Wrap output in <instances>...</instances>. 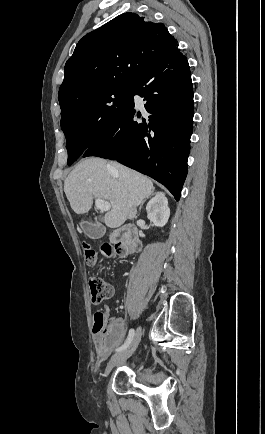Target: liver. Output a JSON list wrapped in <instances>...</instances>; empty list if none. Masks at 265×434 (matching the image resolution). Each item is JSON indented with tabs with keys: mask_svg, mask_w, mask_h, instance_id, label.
<instances>
[{
	"mask_svg": "<svg viewBox=\"0 0 265 434\" xmlns=\"http://www.w3.org/2000/svg\"><path fill=\"white\" fill-rule=\"evenodd\" d=\"M152 180L117 162L85 158L68 174L64 192L75 214H87L95 200H109L112 208L104 216L108 228H120L129 208L139 206L153 194Z\"/></svg>",
	"mask_w": 265,
	"mask_h": 434,
	"instance_id": "obj_1",
	"label": "liver"
}]
</instances>
